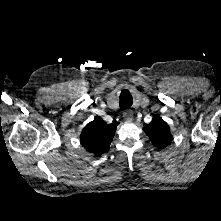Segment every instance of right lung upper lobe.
Wrapping results in <instances>:
<instances>
[{
	"label": "right lung upper lobe",
	"mask_w": 221,
	"mask_h": 221,
	"mask_svg": "<svg viewBox=\"0 0 221 221\" xmlns=\"http://www.w3.org/2000/svg\"><path fill=\"white\" fill-rule=\"evenodd\" d=\"M117 125V122L107 124L102 118L96 117L83 129L80 135L81 144L87 151L101 156L109 150Z\"/></svg>",
	"instance_id": "cb5924a9"
}]
</instances>
